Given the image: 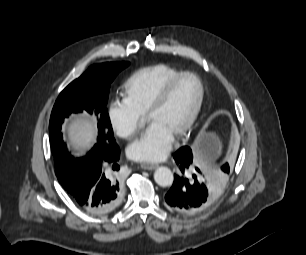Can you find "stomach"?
I'll list each match as a JSON object with an SVG mask.
<instances>
[{"label":"stomach","mask_w":306,"mask_h":255,"mask_svg":"<svg viewBox=\"0 0 306 255\" xmlns=\"http://www.w3.org/2000/svg\"><path fill=\"white\" fill-rule=\"evenodd\" d=\"M220 140L214 133L203 131L194 145L199 159L204 162H214L220 156Z\"/></svg>","instance_id":"1"}]
</instances>
